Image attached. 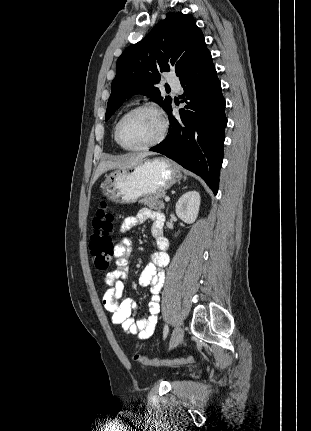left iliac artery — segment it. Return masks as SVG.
<instances>
[{
	"label": "left iliac artery",
	"mask_w": 311,
	"mask_h": 431,
	"mask_svg": "<svg viewBox=\"0 0 311 431\" xmlns=\"http://www.w3.org/2000/svg\"><path fill=\"white\" fill-rule=\"evenodd\" d=\"M169 332V327L168 325H165L164 330H163V338L165 339L168 335Z\"/></svg>",
	"instance_id": "1"
}]
</instances>
